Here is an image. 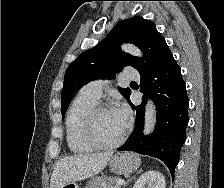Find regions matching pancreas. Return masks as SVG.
<instances>
[{
  "label": "pancreas",
  "instance_id": "cf45deb5",
  "mask_svg": "<svg viewBox=\"0 0 224 188\" xmlns=\"http://www.w3.org/2000/svg\"><path fill=\"white\" fill-rule=\"evenodd\" d=\"M119 179L118 177L96 176L86 184L85 188H116L115 183Z\"/></svg>",
  "mask_w": 224,
  "mask_h": 188
}]
</instances>
